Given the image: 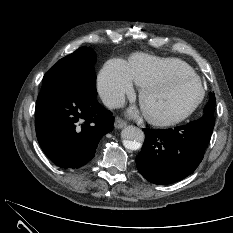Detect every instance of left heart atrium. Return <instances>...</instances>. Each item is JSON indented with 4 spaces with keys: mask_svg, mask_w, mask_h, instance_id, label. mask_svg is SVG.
<instances>
[{
    "mask_svg": "<svg viewBox=\"0 0 233 233\" xmlns=\"http://www.w3.org/2000/svg\"><path fill=\"white\" fill-rule=\"evenodd\" d=\"M136 114V111L135 110H131L130 111V115H135Z\"/></svg>",
    "mask_w": 233,
    "mask_h": 233,
    "instance_id": "left-heart-atrium-1",
    "label": "left heart atrium"
}]
</instances>
